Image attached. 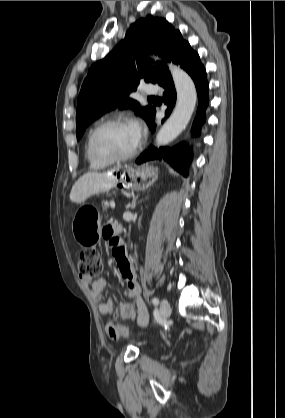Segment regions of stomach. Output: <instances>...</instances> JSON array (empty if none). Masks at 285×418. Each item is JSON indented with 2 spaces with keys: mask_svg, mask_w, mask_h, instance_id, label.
Masks as SVG:
<instances>
[{
  "mask_svg": "<svg viewBox=\"0 0 285 418\" xmlns=\"http://www.w3.org/2000/svg\"><path fill=\"white\" fill-rule=\"evenodd\" d=\"M117 178L123 183L124 187L132 191L142 190L149 187L158 179V168L150 165H144L139 168L126 167L122 172L117 174ZM89 223L86 221L85 214L79 209L72 221V232L74 238L81 244L88 239L89 236L95 238L100 236L99 221Z\"/></svg>",
  "mask_w": 285,
  "mask_h": 418,
  "instance_id": "stomach-1",
  "label": "stomach"
}]
</instances>
